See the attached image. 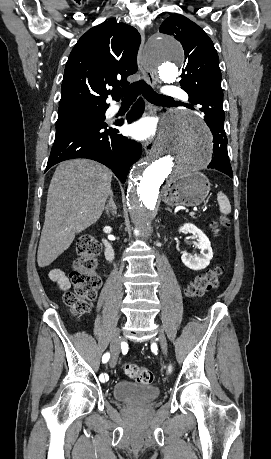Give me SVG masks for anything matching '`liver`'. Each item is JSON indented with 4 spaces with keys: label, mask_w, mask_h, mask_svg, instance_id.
I'll return each mask as SVG.
<instances>
[{
    "label": "liver",
    "mask_w": 271,
    "mask_h": 459,
    "mask_svg": "<svg viewBox=\"0 0 271 459\" xmlns=\"http://www.w3.org/2000/svg\"><path fill=\"white\" fill-rule=\"evenodd\" d=\"M112 172L93 160L61 162L50 182L37 261L52 263L71 245L76 233L102 216L111 194Z\"/></svg>",
    "instance_id": "liver-1"
}]
</instances>
